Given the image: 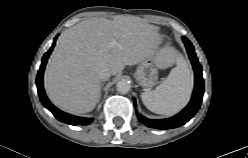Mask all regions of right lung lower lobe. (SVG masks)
<instances>
[{
	"label": "right lung lower lobe",
	"instance_id": "1",
	"mask_svg": "<svg viewBox=\"0 0 248 158\" xmlns=\"http://www.w3.org/2000/svg\"><path fill=\"white\" fill-rule=\"evenodd\" d=\"M57 38V36H56ZM56 38L54 39V43L51 46V48L45 53V55L42 58V63L40 66V69L37 74V79H36V84L38 88V94L40 97V100L42 104L50 111L52 114L61 122H64L66 124L70 125H88L93 121V118H83V117H77L70 115L68 113H65L59 109H57L47 98L44 88H43V73H44V68L46 65V62L48 60V57L50 56L54 45L56 43Z\"/></svg>",
	"mask_w": 248,
	"mask_h": 158
}]
</instances>
